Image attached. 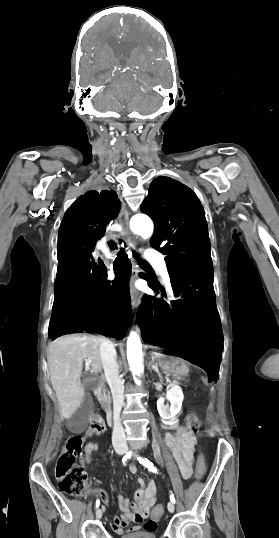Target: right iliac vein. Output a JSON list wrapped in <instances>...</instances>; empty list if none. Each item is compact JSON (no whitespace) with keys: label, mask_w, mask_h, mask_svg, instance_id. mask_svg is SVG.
I'll list each match as a JSON object with an SVG mask.
<instances>
[{"label":"right iliac vein","mask_w":279,"mask_h":538,"mask_svg":"<svg viewBox=\"0 0 279 538\" xmlns=\"http://www.w3.org/2000/svg\"><path fill=\"white\" fill-rule=\"evenodd\" d=\"M101 517H102V510H101L100 508H98V509L96 510V518H97V519H100Z\"/></svg>","instance_id":"63e3f726"}]
</instances>
